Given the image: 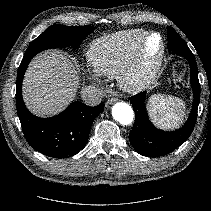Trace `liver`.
<instances>
[{
    "label": "liver",
    "instance_id": "1",
    "mask_svg": "<svg viewBox=\"0 0 211 211\" xmlns=\"http://www.w3.org/2000/svg\"><path fill=\"white\" fill-rule=\"evenodd\" d=\"M78 85L73 63L60 51H45L31 61L26 71L24 102L35 115L54 116L74 100Z\"/></svg>",
    "mask_w": 211,
    "mask_h": 211
}]
</instances>
